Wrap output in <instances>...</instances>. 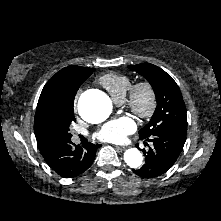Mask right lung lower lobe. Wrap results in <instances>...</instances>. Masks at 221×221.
Wrapping results in <instances>:
<instances>
[{"instance_id": "obj_1", "label": "right lung lower lobe", "mask_w": 221, "mask_h": 221, "mask_svg": "<svg viewBox=\"0 0 221 221\" xmlns=\"http://www.w3.org/2000/svg\"><path fill=\"white\" fill-rule=\"evenodd\" d=\"M100 145L92 143L83 147L69 141L54 142L41 151L48 165L60 176L73 178L85 172L93 163L95 152Z\"/></svg>"}]
</instances>
